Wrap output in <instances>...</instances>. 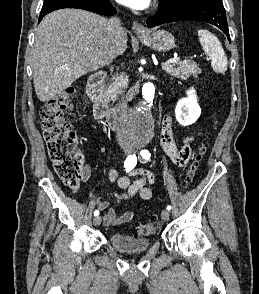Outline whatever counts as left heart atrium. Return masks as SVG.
Listing matches in <instances>:
<instances>
[{"mask_svg": "<svg viewBox=\"0 0 259 294\" xmlns=\"http://www.w3.org/2000/svg\"><path fill=\"white\" fill-rule=\"evenodd\" d=\"M120 4L136 9V10H143L146 9L151 0H116Z\"/></svg>", "mask_w": 259, "mask_h": 294, "instance_id": "left-heart-atrium-1", "label": "left heart atrium"}]
</instances>
